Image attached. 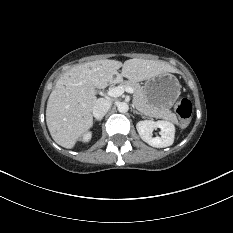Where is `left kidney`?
<instances>
[{"label": "left kidney", "mask_w": 233, "mask_h": 233, "mask_svg": "<svg viewBox=\"0 0 233 233\" xmlns=\"http://www.w3.org/2000/svg\"><path fill=\"white\" fill-rule=\"evenodd\" d=\"M141 139L152 147L164 148L174 142L175 126L168 121L143 120L136 124ZM160 128V137H152L151 132Z\"/></svg>", "instance_id": "1"}]
</instances>
